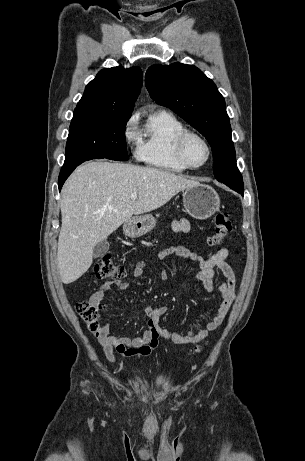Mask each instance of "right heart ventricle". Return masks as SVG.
I'll list each match as a JSON object with an SVG mask.
<instances>
[{
	"label": "right heart ventricle",
	"mask_w": 305,
	"mask_h": 461,
	"mask_svg": "<svg viewBox=\"0 0 305 461\" xmlns=\"http://www.w3.org/2000/svg\"><path fill=\"white\" fill-rule=\"evenodd\" d=\"M185 125L170 112L153 113L138 131L136 154L145 164L170 172H183L187 167L178 159L175 142Z\"/></svg>",
	"instance_id": "e07e8e85"
}]
</instances>
